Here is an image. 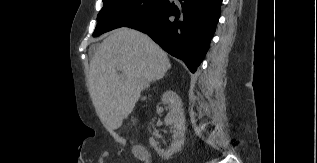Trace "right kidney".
Here are the masks:
<instances>
[{
	"instance_id": "ca27d5eb",
	"label": "right kidney",
	"mask_w": 317,
	"mask_h": 163,
	"mask_svg": "<svg viewBox=\"0 0 317 163\" xmlns=\"http://www.w3.org/2000/svg\"><path fill=\"white\" fill-rule=\"evenodd\" d=\"M162 102L168 103L171 106L170 112L165 117V124L170 125L174 128L173 131V141L168 149H161L158 147L156 141L153 138L149 139V142L152 147L156 150V152L168 159L174 153L178 152L181 149V146L185 141V114L184 109L182 108V101L179 96L173 91H166L161 98Z\"/></svg>"
}]
</instances>
